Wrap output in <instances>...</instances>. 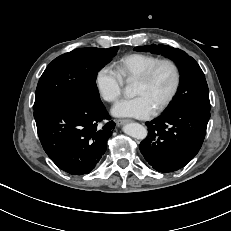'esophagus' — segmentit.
<instances>
[{
    "label": "esophagus",
    "mask_w": 231,
    "mask_h": 231,
    "mask_svg": "<svg viewBox=\"0 0 231 231\" xmlns=\"http://www.w3.org/2000/svg\"><path fill=\"white\" fill-rule=\"evenodd\" d=\"M129 122H131L130 119H117V120H116L117 126H121V125L126 124V123H129Z\"/></svg>",
    "instance_id": "obj_1"
}]
</instances>
